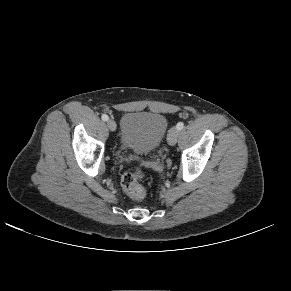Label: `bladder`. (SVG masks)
<instances>
[{
    "instance_id": "1",
    "label": "bladder",
    "mask_w": 291,
    "mask_h": 291,
    "mask_svg": "<svg viewBox=\"0 0 291 291\" xmlns=\"http://www.w3.org/2000/svg\"><path fill=\"white\" fill-rule=\"evenodd\" d=\"M164 115L153 112H127L120 125V144L126 150L149 154L155 151L167 131Z\"/></svg>"
}]
</instances>
